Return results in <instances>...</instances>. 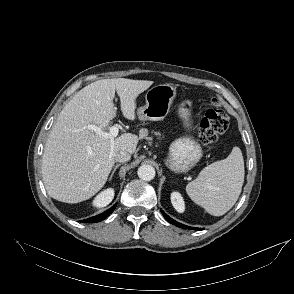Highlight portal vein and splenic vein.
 <instances>
[{
    "instance_id": "obj_1",
    "label": "portal vein and splenic vein",
    "mask_w": 294,
    "mask_h": 294,
    "mask_svg": "<svg viewBox=\"0 0 294 294\" xmlns=\"http://www.w3.org/2000/svg\"><path fill=\"white\" fill-rule=\"evenodd\" d=\"M88 128L94 131L96 134L100 136L108 137L112 140L118 135V132H119V127L116 125L111 126L109 128V132H104L100 128L96 127L95 125H90Z\"/></svg>"
}]
</instances>
